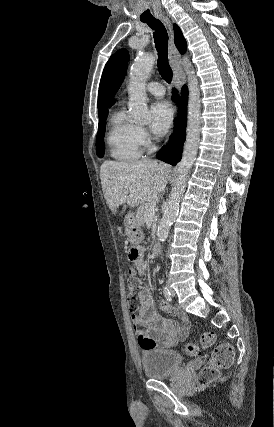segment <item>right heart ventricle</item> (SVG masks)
Segmentation results:
<instances>
[{
    "label": "right heart ventricle",
    "mask_w": 274,
    "mask_h": 427,
    "mask_svg": "<svg viewBox=\"0 0 274 427\" xmlns=\"http://www.w3.org/2000/svg\"><path fill=\"white\" fill-rule=\"evenodd\" d=\"M111 158L121 162H132L142 154L139 128L130 122L122 110L113 116V126L106 138Z\"/></svg>",
    "instance_id": "1"
}]
</instances>
